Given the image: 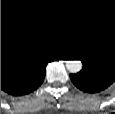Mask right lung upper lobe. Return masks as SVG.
<instances>
[{
    "instance_id": "cb5924a9",
    "label": "right lung upper lobe",
    "mask_w": 115,
    "mask_h": 114,
    "mask_svg": "<svg viewBox=\"0 0 115 114\" xmlns=\"http://www.w3.org/2000/svg\"><path fill=\"white\" fill-rule=\"evenodd\" d=\"M39 58L27 53L22 44L12 38H1V66H20Z\"/></svg>"
}]
</instances>
